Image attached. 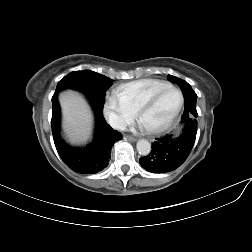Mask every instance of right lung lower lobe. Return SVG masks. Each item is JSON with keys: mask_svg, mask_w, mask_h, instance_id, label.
<instances>
[{"mask_svg": "<svg viewBox=\"0 0 252 252\" xmlns=\"http://www.w3.org/2000/svg\"><path fill=\"white\" fill-rule=\"evenodd\" d=\"M52 135L58 154L64 163L80 174H94L103 170L109 162L111 148L122 139V135L113 130L102 115L103 107L94 106L96 126L93 141L87 147H71L59 134L60 110L57 101L52 102Z\"/></svg>", "mask_w": 252, "mask_h": 252, "instance_id": "1", "label": "right lung lower lobe"}]
</instances>
